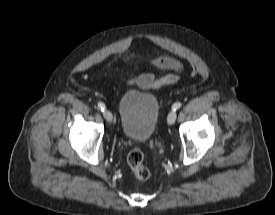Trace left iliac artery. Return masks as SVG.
Returning a JSON list of instances; mask_svg holds the SVG:
<instances>
[{
	"label": "left iliac artery",
	"instance_id": "44dca946",
	"mask_svg": "<svg viewBox=\"0 0 275 215\" xmlns=\"http://www.w3.org/2000/svg\"><path fill=\"white\" fill-rule=\"evenodd\" d=\"M180 107H181V103L180 102H176V103L173 104L172 109L176 111Z\"/></svg>",
	"mask_w": 275,
	"mask_h": 215
}]
</instances>
